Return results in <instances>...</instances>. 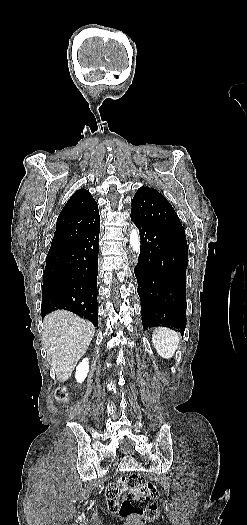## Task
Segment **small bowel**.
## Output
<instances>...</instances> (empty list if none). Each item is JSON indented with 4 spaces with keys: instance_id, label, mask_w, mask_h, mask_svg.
<instances>
[{
    "instance_id": "1",
    "label": "small bowel",
    "mask_w": 247,
    "mask_h": 525,
    "mask_svg": "<svg viewBox=\"0 0 247 525\" xmlns=\"http://www.w3.org/2000/svg\"><path fill=\"white\" fill-rule=\"evenodd\" d=\"M120 487H121V482L119 480L113 479L109 483V487H108V491H107L108 495L106 497L105 505L113 513H116L119 510L118 505H116L114 496L118 492Z\"/></svg>"
}]
</instances>
